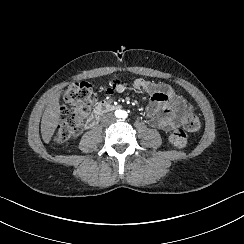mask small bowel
<instances>
[{
    "label": "small bowel",
    "mask_w": 244,
    "mask_h": 244,
    "mask_svg": "<svg viewBox=\"0 0 244 244\" xmlns=\"http://www.w3.org/2000/svg\"><path fill=\"white\" fill-rule=\"evenodd\" d=\"M132 87L150 95L145 113L146 122L150 127L169 131L179 125L183 99L171 86L137 78L133 81ZM126 89L125 83L114 79L104 86L103 91L106 94H112L114 92L123 93Z\"/></svg>",
    "instance_id": "1"
}]
</instances>
